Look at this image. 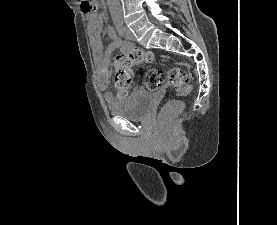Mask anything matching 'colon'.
Instances as JSON below:
<instances>
[{
    "label": "colon",
    "mask_w": 277,
    "mask_h": 225,
    "mask_svg": "<svg viewBox=\"0 0 277 225\" xmlns=\"http://www.w3.org/2000/svg\"><path fill=\"white\" fill-rule=\"evenodd\" d=\"M81 8L85 13H92L97 10V5L93 0H81ZM156 60V55L151 51L143 49H133L129 53L118 55L114 61L115 74L114 86L119 97L128 94L132 81L135 65L142 63H152ZM170 85L183 94H190L192 86L189 74L180 67H170L166 75L161 70H150L146 73L145 85L151 91L158 90L165 79ZM184 109V102L180 99H173L166 103L159 114V122L166 128L170 121Z\"/></svg>",
    "instance_id": "obj_1"
}]
</instances>
